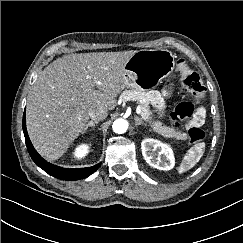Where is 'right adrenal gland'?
<instances>
[{
    "mask_svg": "<svg viewBox=\"0 0 243 243\" xmlns=\"http://www.w3.org/2000/svg\"><path fill=\"white\" fill-rule=\"evenodd\" d=\"M96 124H98V121H90L88 124H87V126H86V130L89 128V127H91V128H95V125ZM85 130V131H86Z\"/></svg>",
    "mask_w": 243,
    "mask_h": 243,
    "instance_id": "1",
    "label": "right adrenal gland"
}]
</instances>
